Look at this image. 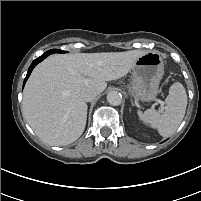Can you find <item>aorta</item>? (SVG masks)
<instances>
[{"label": "aorta", "mask_w": 201, "mask_h": 201, "mask_svg": "<svg viewBox=\"0 0 201 201\" xmlns=\"http://www.w3.org/2000/svg\"><path fill=\"white\" fill-rule=\"evenodd\" d=\"M107 101L109 104L113 106L120 105L122 102V95L118 93L117 91H110L107 94Z\"/></svg>", "instance_id": "1"}]
</instances>
